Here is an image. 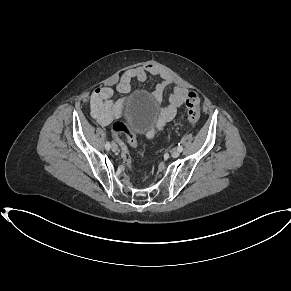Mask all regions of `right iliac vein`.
Returning <instances> with one entry per match:
<instances>
[{
	"mask_svg": "<svg viewBox=\"0 0 291 291\" xmlns=\"http://www.w3.org/2000/svg\"><path fill=\"white\" fill-rule=\"evenodd\" d=\"M111 149H112L113 151H117V150H118V146H117L115 143H112V145H111Z\"/></svg>",
	"mask_w": 291,
	"mask_h": 291,
	"instance_id": "1",
	"label": "right iliac vein"
}]
</instances>
